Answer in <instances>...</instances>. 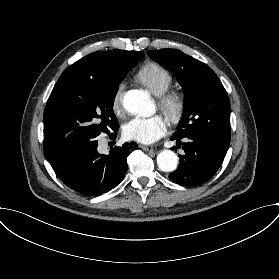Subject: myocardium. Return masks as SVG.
Wrapping results in <instances>:
<instances>
[{
  "instance_id": "myocardium-1",
  "label": "myocardium",
  "mask_w": 279,
  "mask_h": 279,
  "mask_svg": "<svg viewBox=\"0 0 279 279\" xmlns=\"http://www.w3.org/2000/svg\"><path fill=\"white\" fill-rule=\"evenodd\" d=\"M159 104L167 119L173 123H178L185 109L183 96L180 92L167 90L159 95Z\"/></svg>"
}]
</instances>
